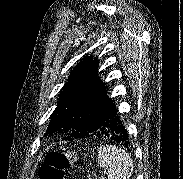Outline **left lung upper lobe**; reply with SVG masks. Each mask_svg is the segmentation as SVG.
I'll list each match as a JSON object with an SVG mask.
<instances>
[{"mask_svg":"<svg viewBox=\"0 0 183 179\" xmlns=\"http://www.w3.org/2000/svg\"><path fill=\"white\" fill-rule=\"evenodd\" d=\"M98 61L84 56L60 91L58 106L45 135L65 134L64 140L84 138L99 129L115 105L97 78Z\"/></svg>","mask_w":183,"mask_h":179,"instance_id":"1","label":"left lung upper lobe"}]
</instances>
